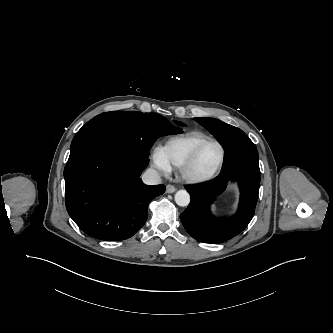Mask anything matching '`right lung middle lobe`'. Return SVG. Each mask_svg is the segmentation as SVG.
<instances>
[{"label": "right lung middle lobe", "instance_id": "1", "mask_svg": "<svg viewBox=\"0 0 333 333\" xmlns=\"http://www.w3.org/2000/svg\"><path fill=\"white\" fill-rule=\"evenodd\" d=\"M180 126L185 124L175 121ZM182 130L156 113L111 111L87 122L75 135L72 144L89 137H98L119 144L126 150L148 159L157 138ZM71 144V145H72Z\"/></svg>", "mask_w": 333, "mask_h": 333}]
</instances>
